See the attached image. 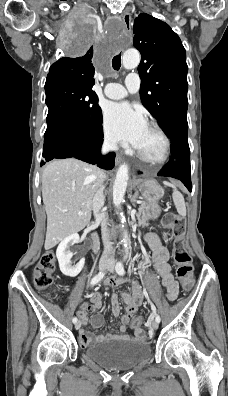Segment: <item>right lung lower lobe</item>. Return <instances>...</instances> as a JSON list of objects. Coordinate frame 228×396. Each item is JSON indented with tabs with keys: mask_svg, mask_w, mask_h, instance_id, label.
Listing matches in <instances>:
<instances>
[{
	"mask_svg": "<svg viewBox=\"0 0 228 396\" xmlns=\"http://www.w3.org/2000/svg\"><path fill=\"white\" fill-rule=\"evenodd\" d=\"M103 143L102 117L100 125L93 131H77L66 126H55L47 129L44 135L43 161L59 158H77L90 164H96L105 170L114 167L115 154L101 155Z\"/></svg>",
	"mask_w": 228,
	"mask_h": 396,
	"instance_id": "right-lung-lower-lobe-1",
	"label": "right lung lower lobe"
}]
</instances>
